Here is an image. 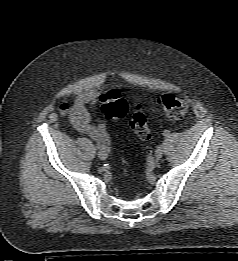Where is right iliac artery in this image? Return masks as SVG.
Instances as JSON below:
<instances>
[{
  "label": "right iliac artery",
  "instance_id": "obj_1",
  "mask_svg": "<svg viewBox=\"0 0 238 261\" xmlns=\"http://www.w3.org/2000/svg\"><path fill=\"white\" fill-rule=\"evenodd\" d=\"M97 148L104 151H109V148L102 144H97Z\"/></svg>",
  "mask_w": 238,
  "mask_h": 261
}]
</instances>
